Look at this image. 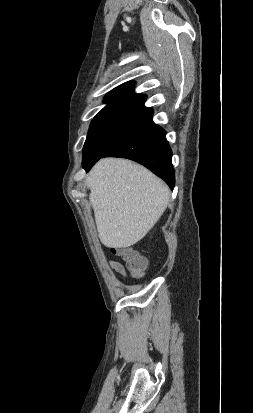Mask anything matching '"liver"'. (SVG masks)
<instances>
[{"label":"liver","mask_w":253,"mask_h":413,"mask_svg":"<svg viewBox=\"0 0 253 413\" xmlns=\"http://www.w3.org/2000/svg\"><path fill=\"white\" fill-rule=\"evenodd\" d=\"M86 185L99 238L109 248H126L140 241L158 222L170 198L161 179L126 159L99 160Z\"/></svg>","instance_id":"obj_1"}]
</instances>
